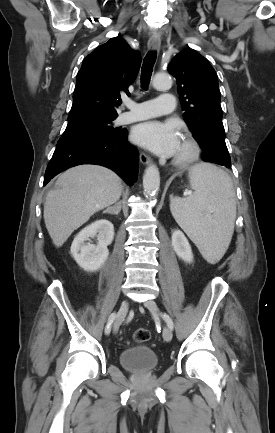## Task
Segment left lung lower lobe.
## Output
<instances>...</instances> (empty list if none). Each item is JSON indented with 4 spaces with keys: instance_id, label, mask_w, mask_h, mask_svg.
Instances as JSON below:
<instances>
[{
    "instance_id": "left-lung-lower-lobe-1",
    "label": "left lung lower lobe",
    "mask_w": 275,
    "mask_h": 433,
    "mask_svg": "<svg viewBox=\"0 0 275 433\" xmlns=\"http://www.w3.org/2000/svg\"><path fill=\"white\" fill-rule=\"evenodd\" d=\"M222 165L225 166V167H227V168H230L231 167V162L230 163H224Z\"/></svg>"
}]
</instances>
